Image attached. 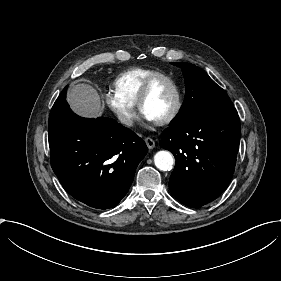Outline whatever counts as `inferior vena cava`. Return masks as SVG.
Here are the masks:
<instances>
[{"instance_id":"1","label":"inferior vena cava","mask_w":281,"mask_h":281,"mask_svg":"<svg viewBox=\"0 0 281 281\" xmlns=\"http://www.w3.org/2000/svg\"><path fill=\"white\" fill-rule=\"evenodd\" d=\"M118 119L125 125L127 126H132L133 125V120L129 117H127L124 114H119Z\"/></svg>"}]
</instances>
